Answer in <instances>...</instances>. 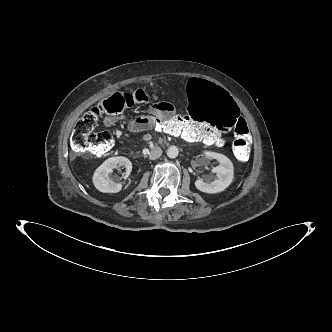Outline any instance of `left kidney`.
Masks as SVG:
<instances>
[{
    "label": "left kidney",
    "instance_id": "5707ae66",
    "mask_svg": "<svg viewBox=\"0 0 332 332\" xmlns=\"http://www.w3.org/2000/svg\"><path fill=\"white\" fill-rule=\"evenodd\" d=\"M206 159H215L219 165L212 169L217 179L205 182L203 179L195 181V187L205 193H219L224 191L233 181L234 167L231 160L221 153L205 152Z\"/></svg>",
    "mask_w": 332,
    "mask_h": 332
}]
</instances>
